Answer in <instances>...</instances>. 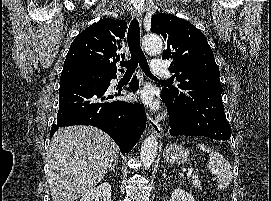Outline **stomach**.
<instances>
[{
  "instance_id": "1",
  "label": "stomach",
  "mask_w": 271,
  "mask_h": 201,
  "mask_svg": "<svg viewBox=\"0 0 271 201\" xmlns=\"http://www.w3.org/2000/svg\"><path fill=\"white\" fill-rule=\"evenodd\" d=\"M166 162L171 164H184L189 160L190 151L182 145L170 144L163 153Z\"/></svg>"
}]
</instances>
